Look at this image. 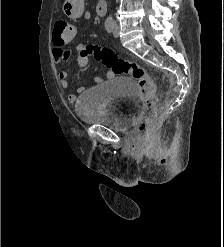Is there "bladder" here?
<instances>
[{"label":"bladder","mask_w":224,"mask_h":247,"mask_svg":"<svg viewBox=\"0 0 224 247\" xmlns=\"http://www.w3.org/2000/svg\"><path fill=\"white\" fill-rule=\"evenodd\" d=\"M138 106L134 81L129 77L117 76L84 90L74 110L85 124L126 132L132 126Z\"/></svg>","instance_id":"1"}]
</instances>
